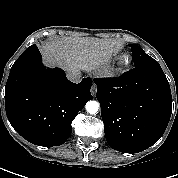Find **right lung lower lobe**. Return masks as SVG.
<instances>
[{
	"label": "right lung lower lobe",
	"instance_id": "obj_1",
	"mask_svg": "<svg viewBox=\"0 0 178 178\" xmlns=\"http://www.w3.org/2000/svg\"><path fill=\"white\" fill-rule=\"evenodd\" d=\"M92 81L79 84L63 70L43 66L40 52L26 51L13 64L5 87V109L12 127L39 146H59L69 138L71 123L93 97Z\"/></svg>",
	"mask_w": 178,
	"mask_h": 178
}]
</instances>
